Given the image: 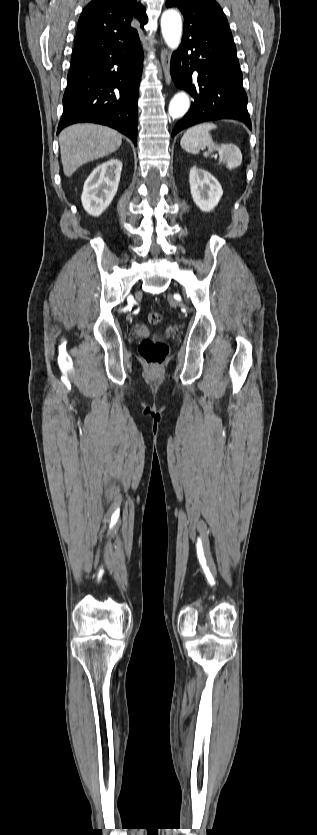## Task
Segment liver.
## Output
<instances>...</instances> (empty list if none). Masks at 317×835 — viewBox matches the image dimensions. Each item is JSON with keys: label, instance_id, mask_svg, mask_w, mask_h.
<instances>
[{"label": "liver", "instance_id": "1", "mask_svg": "<svg viewBox=\"0 0 317 835\" xmlns=\"http://www.w3.org/2000/svg\"><path fill=\"white\" fill-rule=\"evenodd\" d=\"M122 143L116 130L95 124H76L59 135L61 161L65 176L81 165L115 152Z\"/></svg>", "mask_w": 317, "mask_h": 835}]
</instances>
